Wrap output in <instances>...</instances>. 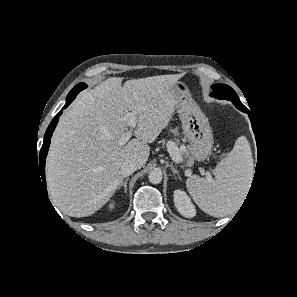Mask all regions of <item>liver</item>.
I'll use <instances>...</instances> for the list:
<instances>
[{
	"instance_id": "1",
	"label": "liver",
	"mask_w": 297,
	"mask_h": 297,
	"mask_svg": "<svg viewBox=\"0 0 297 297\" xmlns=\"http://www.w3.org/2000/svg\"><path fill=\"white\" fill-rule=\"evenodd\" d=\"M181 75L132 79L112 77L84 92L61 116L46 162L52 203L71 217L90 216L105 205L122 183L121 166L129 160L138 168L176 109L173 85ZM136 111V138L119 139L129 127L124 120Z\"/></svg>"
}]
</instances>
